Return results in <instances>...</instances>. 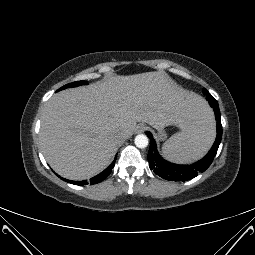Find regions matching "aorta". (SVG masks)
Masks as SVG:
<instances>
[{
  "label": "aorta",
  "mask_w": 255,
  "mask_h": 255,
  "mask_svg": "<svg viewBox=\"0 0 255 255\" xmlns=\"http://www.w3.org/2000/svg\"><path fill=\"white\" fill-rule=\"evenodd\" d=\"M134 143L138 148H146L148 146V137L144 134H139L135 137Z\"/></svg>",
  "instance_id": "762f6f07"
}]
</instances>
